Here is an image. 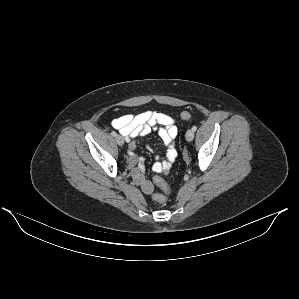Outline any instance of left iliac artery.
<instances>
[{
	"label": "left iliac artery",
	"instance_id": "44dca946",
	"mask_svg": "<svg viewBox=\"0 0 299 299\" xmlns=\"http://www.w3.org/2000/svg\"><path fill=\"white\" fill-rule=\"evenodd\" d=\"M192 130L195 132L197 130V126H193Z\"/></svg>",
	"mask_w": 299,
	"mask_h": 299
}]
</instances>
